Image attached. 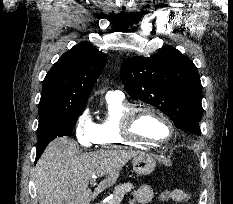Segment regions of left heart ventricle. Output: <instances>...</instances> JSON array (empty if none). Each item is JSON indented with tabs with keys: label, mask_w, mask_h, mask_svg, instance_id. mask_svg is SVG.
<instances>
[{
	"label": "left heart ventricle",
	"mask_w": 233,
	"mask_h": 204,
	"mask_svg": "<svg viewBox=\"0 0 233 204\" xmlns=\"http://www.w3.org/2000/svg\"><path fill=\"white\" fill-rule=\"evenodd\" d=\"M134 131L141 137L157 141L164 140L169 134L165 122L151 112L138 114L134 123Z\"/></svg>",
	"instance_id": "obj_1"
}]
</instances>
